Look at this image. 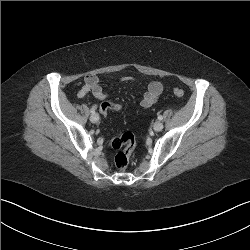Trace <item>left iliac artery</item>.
<instances>
[{
	"instance_id": "44dca946",
	"label": "left iliac artery",
	"mask_w": 250,
	"mask_h": 250,
	"mask_svg": "<svg viewBox=\"0 0 250 250\" xmlns=\"http://www.w3.org/2000/svg\"><path fill=\"white\" fill-rule=\"evenodd\" d=\"M158 119H159V120H162V119H163V117H162L161 115H159V116H158Z\"/></svg>"
}]
</instances>
